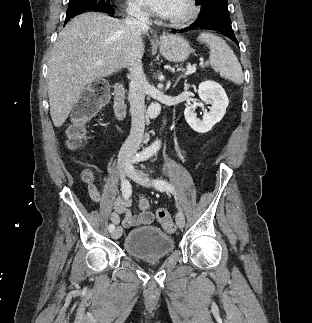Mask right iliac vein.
Segmentation results:
<instances>
[{"instance_id": "1", "label": "right iliac vein", "mask_w": 312, "mask_h": 323, "mask_svg": "<svg viewBox=\"0 0 312 323\" xmlns=\"http://www.w3.org/2000/svg\"><path fill=\"white\" fill-rule=\"evenodd\" d=\"M123 173H124V175H125V176H127V177L131 176V174H132V167H130V166H128V165L124 166V167H123ZM121 235H122V227H121V226H117V227L113 230V232H112V234H111V236H112V238H113V239H118V238H120V237H121Z\"/></svg>"}]
</instances>
